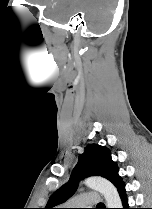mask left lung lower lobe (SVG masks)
Returning <instances> with one entry per match:
<instances>
[{
  "label": "left lung lower lobe",
  "instance_id": "0a47b994",
  "mask_svg": "<svg viewBox=\"0 0 152 209\" xmlns=\"http://www.w3.org/2000/svg\"><path fill=\"white\" fill-rule=\"evenodd\" d=\"M117 190H118V193H119L120 198H121L122 203H123V209H132V208H129V206H128V200H127V196H126L125 184L122 183L118 187Z\"/></svg>",
  "mask_w": 152,
  "mask_h": 209
}]
</instances>
